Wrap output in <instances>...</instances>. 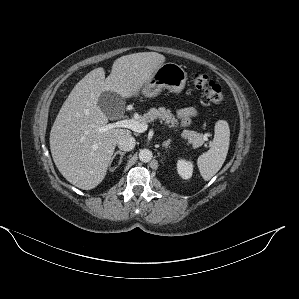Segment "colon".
<instances>
[{
    "label": "colon",
    "instance_id": "1",
    "mask_svg": "<svg viewBox=\"0 0 299 299\" xmlns=\"http://www.w3.org/2000/svg\"><path fill=\"white\" fill-rule=\"evenodd\" d=\"M193 85L202 91L206 98L214 103H221L225 100V93L222 87L213 81L207 74L195 72L191 74Z\"/></svg>",
    "mask_w": 299,
    "mask_h": 299
}]
</instances>
